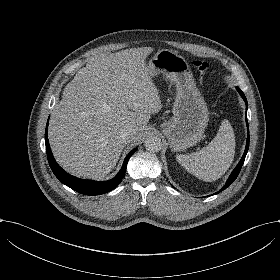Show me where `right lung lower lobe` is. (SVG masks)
I'll use <instances>...</instances> for the list:
<instances>
[{
    "label": "right lung lower lobe",
    "instance_id": "obj_1",
    "mask_svg": "<svg viewBox=\"0 0 280 280\" xmlns=\"http://www.w3.org/2000/svg\"><path fill=\"white\" fill-rule=\"evenodd\" d=\"M47 128H48V122H47L46 130H45V143H46V153H47L48 162H49V165H50L53 173L63 184H65L66 186L70 187L71 189L77 191L78 193H81L84 195H90V196L100 195V194L109 192L112 189H114L121 182L122 178L124 177L128 160L136 151V149H134L127 155L119 173L114 178H112L108 181L97 182V181H93V180L79 179V178L69 175L55 161V159L52 155L48 137H47Z\"/></svg>",
    "mask_w": 280,
    "mask_h": 280
}]
</instances>
